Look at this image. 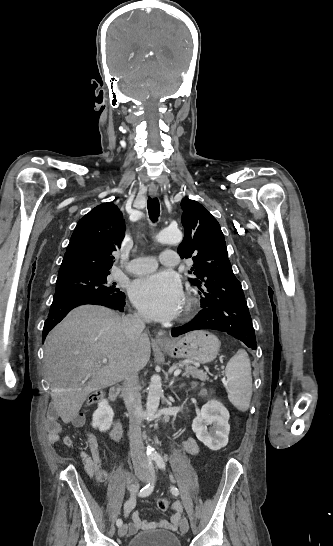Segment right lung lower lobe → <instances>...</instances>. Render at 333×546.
<instances>
[{"mask_svg": "<svg viewBox=\"0 0 333 546\" xmlns=\"http://www.w3.org/2000/svg\"><path fill=\"white\" fill-rule=\"evenodd\" d=\"M84 304L102 305L123 312L125 295L123 292H120L113 295H90L53 301L48 318L44 324L43 340L48 332L53 329L70 310Z\"/></svg>", "mask_w": 333, "mask_h": 546, "instance_id": "1", "label": "right lung lower lobe"}]
</instances>
